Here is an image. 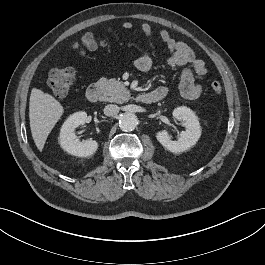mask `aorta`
I'll return each mask as SVG.
<instances>
[{
    "label": "aorta",
    "mask_w": 265,
    "mask_h": 265,
    "mask_svg": "<svg viewBox=\"0 0 265 265\" xmlns=\"http://www.w3.org/2000/svg\"><path fill=\"white\" fill-rule=\"evenodd\" d=\"M120 128L124 131H131L135 129L138 124L137 116L134 113H124L119 121Z\"/></svg>",
    "instance_id": "762f6f07"
}]
</instances>
